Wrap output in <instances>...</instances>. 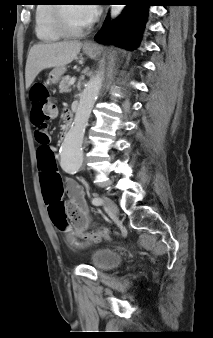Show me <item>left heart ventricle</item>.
I'll return each mask as SVG.
<instances>
[{
	"instance_id": "1",
	"label": "left heart ventricle",
	"mask_w": 213,
	"mask_h": 338,
	"mask_svg": "<svg viewBox=\"0 0 213 338\" xmlns=\"http://www.w3.org/2000/svg\"><path fill=\"white\" fill-rule=\"evenodd\" d=\"M64 15L67 25L73 30H80L89 25L81 15L79 8L74 5L66 6Z\"/></svg>"
}]
</instances>
